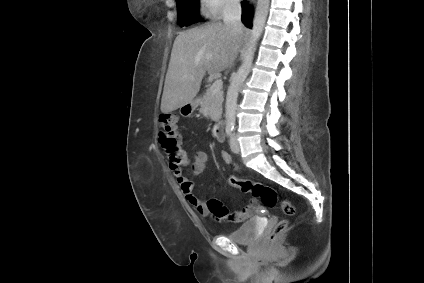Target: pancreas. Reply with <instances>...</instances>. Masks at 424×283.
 <instances>
[{
  "label": "pancreas",
  "instance_id": "obj_1",
  "mask_svg": "<svg viewBox=\"0 0 424 283\" xmlns=\"http://www.w3.org/2000/svg\"><path fill=\"white\" fill-rule=\"evenodd\" d=\"M209 88L200 101L199 111L204 117L210 118L212 121H218L222 114L223 92L220 91L213 94Z\"/></svg>",
  "mask_w": 424,
  "mask_h": 283
}]
</instances>
